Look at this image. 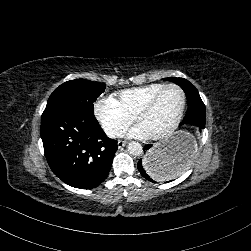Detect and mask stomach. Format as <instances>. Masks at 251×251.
Here are the masks:
<instances>
[{
  "instance_id": "stomach-1",
  "label": "stomach",
  "mask_w": 251,
  "mask_h": 251,
  "mask_svg": "<svg viewBox=\"0 0 251 251\" xmlns=\"http://www.w3.org/2000/svg\"><path fill=\"white\" fill-rule=\"evenodd\" d=\"M196 137L186 131H176L159 142L142 159L145 174L152 179H173L188 170L197 154Z\"/></svg>"
}]
</instances>
